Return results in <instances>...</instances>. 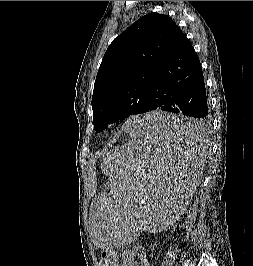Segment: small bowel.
I'll return each mask as SVG.
<instances>
[{"instance_id":"c3829d8e","label":"small bowel","mask_w":253,"mask_h":266,"mask_svg":"<svg viewBox=\"0 0 253 266\" xmlns=\"http://www.w3.org/2000/svg\"><path fill=\"white\" fill-rule=\"evenodd\" d=\"M119 266H150L146 258L143 256L140 247L133 250H125L122 253Z\"/></svg>"}]
</instances>
